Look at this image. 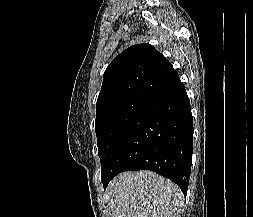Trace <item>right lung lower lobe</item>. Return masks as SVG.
<instances>
[{"mask_svg":"<svg viewBox=\"0 0 253 217\" xmlns=\"http://www.w3.org/2000/svg\"><path fill=\"white\" fill-rule=\"evenodd\" d=\"M190 101L178 79L150 100L114 146L104 172V188L122 171L152 170L187 193L192 162Z\"/></svg>","mask_w":253,"mask_h":217,"instance_id":"1","label":"right lung lower lobe"}]
</instances>
